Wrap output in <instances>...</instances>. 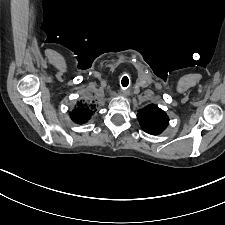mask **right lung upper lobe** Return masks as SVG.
I'll use <instances>...</instances> for the list:
<instances>
[{"label":"right lung upper lobe","mask_w":225,"mask_h":225,"mask_svg":"<svg viewBox=\"0 0 225 225\" xmlns=\"http://www.w3.org/2000/svg\"><path fill=\"white\" fill-rule=\"evenodd\" d=\"M94 105L87 106L79 103L77 109L70 113L72 121L78 124H83L91 118L93 114Z\"/></svg>","instance_id":"right-lung-upper-lobe-1"}]
</instances>
